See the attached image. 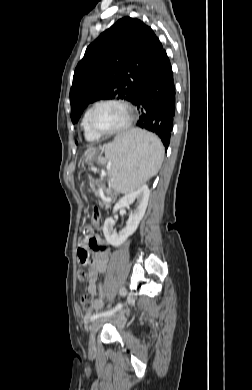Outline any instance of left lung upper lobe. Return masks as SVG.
<instances>
[{
	"label": "left lung upper lobe",
	"mask_w": 252,
	"mask_h": 390,
	"mask_svg": "<svg viewBox=\"0 0 252 390\" xmlns=\"http://www.w3.org/2000/svg\"><path fill=\"white\" fill-rule=\"evenodd\" d=\"M162 50L153 30L142 21L124 17L86 49L70 90L71 120L100 99H134L136 88Z\"/></svg>",
	"instance_id": "left-lung-upper-lobe-1"
}]
</instances>
